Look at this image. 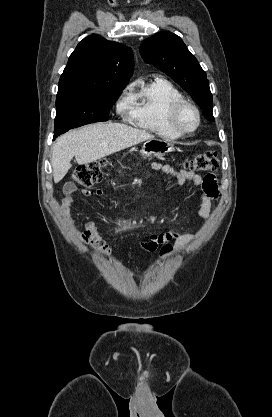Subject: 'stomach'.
Instances as JSON below:
<instances>
[{"instance_id": "0dacf381", "label": "stomach", "mask_w": 272, "mask_h": 417, "mask_svg": "<svg viewBox=\"0 0 272 417\" xmlns=\"http://www.w3.org/2000/svg\"><path fill=\"white\" fill-rule=\"evenodd\" d=\"M173 150L174 147L170 143L161 139L153 138L147 140L143 144L139 154L142 159H147L162 156Z\"/></svg>"}]
</instances>
